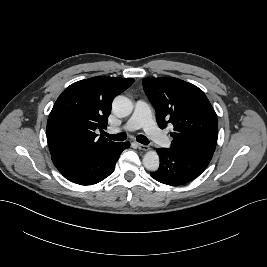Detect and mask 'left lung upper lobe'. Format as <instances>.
Here are the masks:
<instances>
[{"label": "left lung upper lobe", "instance_id": "1", "mask_svg": "<svg viewBox=\"0 0 267 267\" xmlns=\"http://www.w3.org/2000/svg\"><path fill=\"white\" fill-rule=\"evenodd\" d=\"M161 129L174 126L171 149L212 158L218 138L217 116L204 92L177 78H144Z\"/></svg>", "mask_w": 267, "mask_h": 267}]
</instances>
